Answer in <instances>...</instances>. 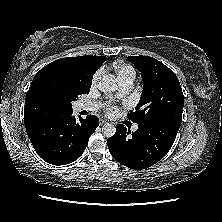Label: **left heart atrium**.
<instances>
[{
  "mask_svg": "<svg viewBox=\"0 0 222 222\" xmlns=\"http://www.w3.org/2000/svg\"><path fill=\"white\" fill-rule=\"evenodd\" d=\"M105 110L108 114H112L114 112L115 108L111 105H107Z\"/></svg>",
  "mask_w": 222,
  "mask_h": 222,
  "instance_id": "left-heart-atrium-1",
  "label": "left heart atrium"
}]
</instances>
